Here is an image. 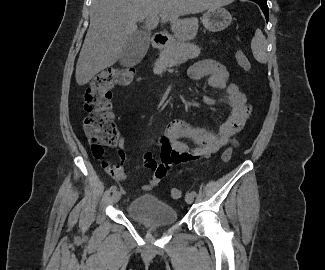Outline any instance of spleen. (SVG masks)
Returning a JSON list of instances; mask_svg holds the SVG:
<instances>
[{"label": "spleen", "instance_id": "spleen-1", "mask_svg": "<svg viewBox=\"0 0 325 270\" xmlns=\"http://www.w3.org/2000/svg\"><path fill=\"white\" fill-rule=\"evenodd\" d=\"M251 49L254 58L260 63L267 62V42L265 36L260 29H257L251 41Z\"/></svg>", "mask_w": 325, "mask_h": 270}]
</instances>
